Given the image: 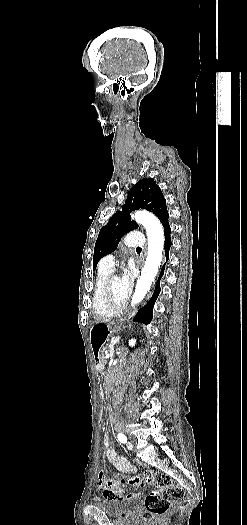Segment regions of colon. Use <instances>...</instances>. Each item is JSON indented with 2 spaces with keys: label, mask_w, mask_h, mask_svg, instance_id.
Wrapping results in <instances>:
<instances>
[{
  "label": "colon",
  "mask_w": 247,
  "mask_h": 525,
  "mask_svg": "<svg viewBox=\"0 0 247 525\" xmlns=\"http://www.w3.org/2000/svg\"><path fill=\"white\" fill-rule=\"evenodd\" d=\"M99 427L107 426L106 418L98 419ZM128 483L137 486L140 483L147 486H155L145 497L146 512L144 517L148 519L163 520L167 517L170 504L175 501L184 500L186 491L173 483V481L163 472H152L145 470L138 474L128 477Z\"/></svg>",
  "instance_id": "obj_1"
}]
</instances>
